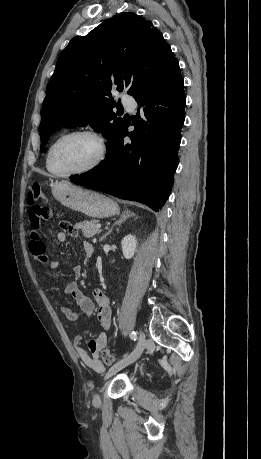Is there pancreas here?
<instances>
[{"mask_svg": "<svg viewBox=\"0 0 261 459\" xmlns=\"http://www.w3.org/2000/svg\"><path fill=\"white\" fill-rule=\"evenodd\" d=\"M98 220L92 219L90 221H84L76 225V228L80 229L83 236L86 238L93 237L99 234L101 231L97 228Z\"/></svg>", "mask_w": 261, "mask_h": 459, "instance_id": "pancreas-1", "label": "pancreas"}]
</instances>
